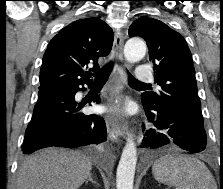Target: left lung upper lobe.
Here are the masks:
<instances>
[{
    "label": "left lung upper lobe",
    "mask_w": 223,
    "mask_h": 189,
    "mask_svg": "<svg viewBox=\"0 0 223 189\" xmlns=\"http://www.w3.org/2000/svg\"><path fill=\"white\" fill-rule=\"evenodd\" d=\"M129 36L147 42L154 80L161 87L143 93L142 102L170 120L204 127L192 55L182 35L162 21L141 17L130 26Z\"/></svg>",
    "instance_id": "obj_1"
}]
</instances>
